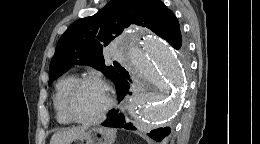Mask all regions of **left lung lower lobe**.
<instances>
[{
    "instance_id": "obj_1",
    "label": "left lung lower lobe",
    "mask_w": 260,
    "mask_h": 144,
    "mask_svg": "<svg viewBox=\"0 0 260 144\" xmlns=\"http://www.w3.org/2000/svg\"><path fill=\"white\" fill-rule=\"evenodd\" d=\"M168 43L173 48L177 50L180 49L182 44L184 43L182 39L181 31H178L171 39V41H169ZM128 78H129L128 74L126 72L123 73L120 81L116 86L119 102L122 101L127 94H129L130 84L128 82ZM108 116H109L108 119L104 123H102V126L136 130V128L133 126L132 123H126L124 114L121 111L112 110L109 112ZM169 133H170V128L164 127V128H158L152 130L150 133H148V136L160 142Z\"/></svg>"
}]
</instances>
